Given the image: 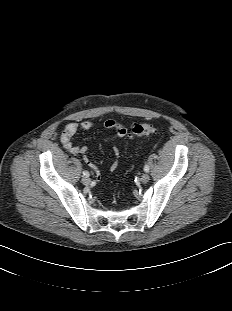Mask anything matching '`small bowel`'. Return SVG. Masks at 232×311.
Masks as SVG:
<instances>
[{"instance_id":"1","label":"small bowel","mask_w":232,"mask_h":311,"mask_svg":"<svg viewBox=\"0 0 232 311\" xmlns=\"http://www.w3.org/2000/svg\"><path fill=\"white\" fill-rule=\"evenodd\" d=\"M94 123L90 120H85L83 122H70L66 125L64 131L60 136V141L63 147L71 154H81L86 155L88 148L86 146H77L73 143L72 139L78 131H87L93 127ZM104 127L107 130H114L118 136H124L126 134V129L119 124L117 121L109 119L104 123ZM115 155H118V150L114 149ZM117 163L115 162L111 169H115Z\"/></svg>"}]
</instances>
